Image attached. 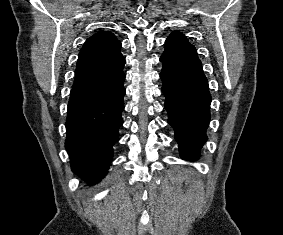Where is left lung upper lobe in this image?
I'll list each match as a JSON object with an SVG mask.
<instances>
[{
  "instance_id": "5c2ea615",
  "label": "left lung upper lobe",
  "mask_w": 283,
  "mask_h": 235,
  "mask_svg": "<svg viewBox=\"0 0 283 235\" xmlns=\"http://www.w3.org/2000/svg\"><path fill=\"white\" fill-rule=\"evenodd\" d=\"M160 61L173 65L202 69L196 49L179 31L172 32L166 40L165 51Z\"/></svg>"
}]
</instances>
